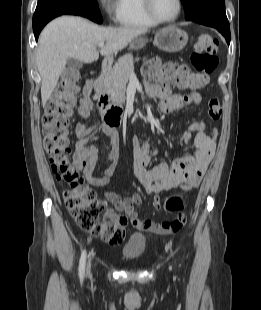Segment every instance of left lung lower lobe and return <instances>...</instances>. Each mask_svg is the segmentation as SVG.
Masks as SVG:
<instances>
[{"label":"left lung lower lobe","mask_w":261,"mask_h":310,"mask_svg":"<svg viewBox=\"0 0 261 310\" xmlns=\"http://www.w3.org/2000/svg\"><path fill=\"white\" fill-rule=\"evenodd\" d=\"M203 25L206 26H210L213 27L215 29H217L225 38L227 43H230V26H229V22H215V21H203L202 23Z\"/></svg>","instance_id":"1"}]
</instances>
